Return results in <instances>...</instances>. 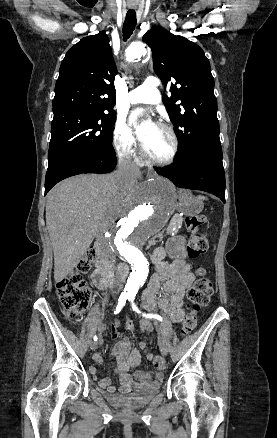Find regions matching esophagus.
Masks as SVG:
<instances>
[{"instance_id": "esophagus-1", "label": "esophagus", "mask_w": 277, "mask_h": 438, "mask_svg": "<svg viewBox=\"0 0 277 438\" xmlns=\"http://www.w3.org/2000/svg\"><path fill=\"white\" fill-rule=\"evenodd\" d=\"M130 9H135L136 7H129ZM151 176H153V173H152V171H149L148 173H147V177L148 178H150Z\"/></svg>"}]
</instances>
